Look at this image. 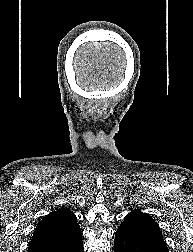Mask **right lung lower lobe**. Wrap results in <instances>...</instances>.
<instances>
[{
	"label": "right lung lower lobe",
	"instance_id": "right-lung-lower-lobe-1",
	"mask_svg": "<svg viewBox=\"0 0 193 252\" xmlns=\"http://www.w3.org/2000/svg\"><path fill=\"white\" fill-rule=\"evenodd\" d=\"M29 252H84L82 232H79L66 241L51 246L36 248Z\"/></svg>",
	"mask_w": 193,
	"mask_h": 252
}]
</instances>
